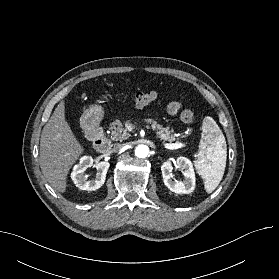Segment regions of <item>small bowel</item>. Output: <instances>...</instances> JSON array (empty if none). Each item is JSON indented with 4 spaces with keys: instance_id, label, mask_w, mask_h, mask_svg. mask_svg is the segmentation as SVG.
<instances>
[{
    "instance_id": "obj_1",
    "label": "small bowel",
    "mask_w": 279,
    "mask_h": 279,
    "mask_svg": "<svg viewBox=\"0 0 279 279\" xmlns=\"http://www.w3.org/2000/svg\"><path fill=\"white\" fill-rule=\"evenodd\" d=\"M181 108V103L178 101H172L167 105V112L170 115H175Z\"/></svg>"
}]
</instances>
